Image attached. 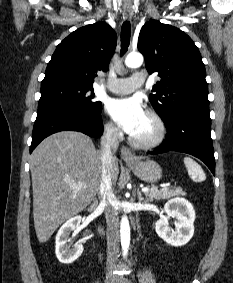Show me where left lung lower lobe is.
<instances>
[{
    "instance_id": "1",
    "label": "left lung lower lobe",
    "mask_w": 233,
    "mask_h": 283,
    "mask_svg": "<svg viewBox=\"0 0 233 283\" xmlns=\"http://www.w3.org/2000/svg\"><path fill=\"white\" fill-rule=\"evenodd\" d=\"M164 122L168 134L163 143L150 154L185 152L201 159L215 175L209 109H187Z\"/></svg>"
}]
</instances>
